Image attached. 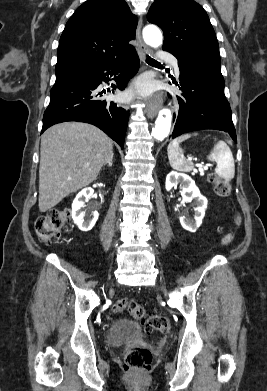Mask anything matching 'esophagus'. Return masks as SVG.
<instances>
[{
    "instance_id": "34e87169",
    "label": "esophagus",
    "mask_w": 267,
    "mask_h": 391,
    "mask_svg": "<svg viewBox=\"0 0 267 391\" xmlns=\"http://www.w3.org/2000/svg\"><path fill=\"white\" fill-rule=\"evenodd\" d=\"M141 28H142V17H140L138 26L136 29V39L138 41L139 45V54L142 58H144V55L150 52V49L144 44L142 37H141ZM162 102V94H157L154 99L150 100L147 103L146 107V113L148 117L153 118L157 115Z\"/></svg>"
}]
</instances>
